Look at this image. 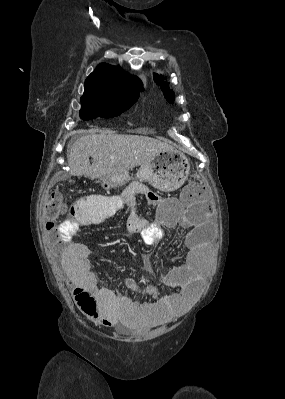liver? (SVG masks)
Wrapping results in <instances>:
<instances>
[{"instance_id": "6515ba94", "label": "liver", "mask_w": 285, "mask_h": 399, "mask_svg": "<svg viewBox=\"0 0 285 399\" xmlns=\"http://www.w3.org/2000/svg\"><path fill=\"white\" fill-rule=\"evenodd\" d=\"M173 147L141 135L92 133L79 138L67 154L70 174L91 179L122 177L130 169L150 161L157 153ZM89 157L93 158L90 164Z\"/></svg>"}]
</instances>
